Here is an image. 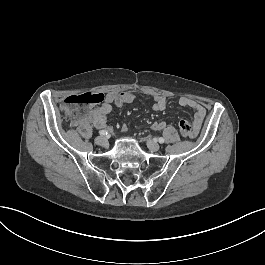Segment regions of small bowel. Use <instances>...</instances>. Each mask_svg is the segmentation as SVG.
Listing matches in <instances>:
<instances>
[{
	"mask_svg": "<svg viewBox=\"0 0 265 265\" xmlns=\"http://www.w3.org/2000/svg\"><path fill=\"white\" fill-rule=\"evenodd\" d=\"M136 96L131 91L117 92L110 91L106 94L103 103L98 107H89L81 110V116L78 119H72V123L81 128H85L92 124L97 129H103L107 126V118L112 107H123L126 104L134 102ZM178 103L181 107L189 108L193 111L191 118L192 138L196 137L203 124L206 110L204 106L198 101L182 96ZM166 108V97L164 95H155L153 109L157 112L163 111ZM71 115V113H69ZM165 122H155L152 126L154 130H161L165 128ZM127 126L124 124L121 127L122 132L127 131Z\"/></svg>",
	"mask_w": 265,
	"mask_h": 265,
	"instance_id": "c3829d8e",
	"label": "small bowel"
}]
</instances>
